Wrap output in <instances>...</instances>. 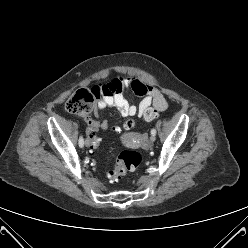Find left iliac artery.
I'll return each instance as SVG.
<instances>
[{"label": "left iliac artery", "mask_w": 248, "mask_h": 248, "mask_svg": "<svg viewBox=\"0 0 248 248\" xmlns=\"http://www.w3.org/2000/svg\"><path fill=\"white\" fill-rule=\"evenodd\" d=\"M151 135H153V136L156 135V130L154 128L151 130Z\"/></svg>", "instance_id": "obj_1"}]
</instances>
